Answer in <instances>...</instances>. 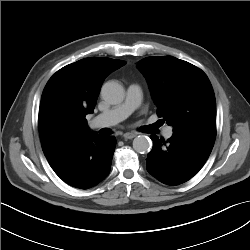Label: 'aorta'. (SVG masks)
Listing matches in <instances>:
<instances>
[{
  "label": "aorta",
  "mask_w": 250,
  "mask_h": 250,
  "mask_svg": "<svg viewBox=\"0 0 250 250\" xmlns=\"http://www.w3.org/2000/svg\"><path fill=\"white\" fill-rule=\"evenodd\" d=\"M101 96L109 104H119L125 96L124 88L117 82H106L101 88ZM133 148L138 153H146L151 148V140L147 136H137Z\"/></svg>",
  "instance_id": "aorta-1"
}]
</instances>
